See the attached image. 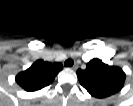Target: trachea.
<instances>
[{
    "instance_id": "3493384b",
    "label": "trachea",
    "mask_w": 133,
    "mask_h": 106,
    "mask_svg": "<svg viewBox=\"0 0 133 106\" xmlns=\"http://www.w3.org/2000/svg\"><path fill=\"white\" fill-rule=\"evenodd\" d=\"M73 64H74V61L72 59H67L64 62V66H66V67H71V66H73Z\"/></svg>"
}]
</instances>
